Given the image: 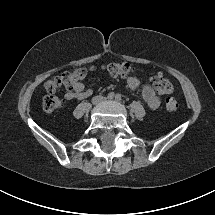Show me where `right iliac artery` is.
I'll use <instances>...</instances> for the list:
<instances>
[{
  "label": "right iliac artery",
  "instance_id": "obj_1",
  "mask_svg": "<svg viewBox=\"0 0 215 215\" xmlns=\"http://www.w3.org/2000/svg\"><path fill=\"white\" fill-rule=\"evenodd\" d=\"M107 98L110 99V100L113 99L114 98V93L113 92L109 93Z\"/></svg>",
  "mask_w": 215,
  "mask_h": 215
}]
</instances>
